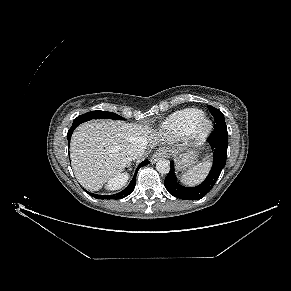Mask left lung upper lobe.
<instances>
[{
  "instance_id": "5c2ea615",
  "label": "left lung upper lobe",
  "mask_w": 291,
  "mask_h": 291,
  "mask_svg": "<svg viewBox=\"0 0 291 291\" xmlns=\"http://www.w3.org/2000/svg\"><path fill=\"white\" fill-rule=\"evenodd\" d=\"M208 109L210 110V112L213 114L215 118V122H216L215 126H224L226 128L225 118H224V115L221 113V111L212 106H208ZM180 199L187 200V199H190V197L184 194L180 197Z\"/></svg>"
}]
</instances>
